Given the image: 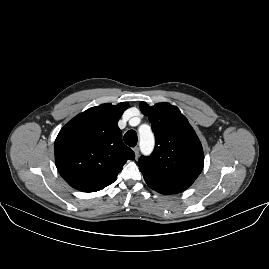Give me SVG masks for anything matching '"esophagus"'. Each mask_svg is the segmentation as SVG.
<instances>
[{"label": "esophagus", "mask_w": 269, "mask_h": 269, "mask_svg": "<svg viewBox=\"0 0 269 269\" xmlns=\"http://www.w3.org/2000/svg\"><path fill=\"white\" fill-rule=\"evenodd\" d=\"M133 151H134V153H135V159L137 160L138 157H139V154H140V152H139V148H138V147H134V148H133Z\"/></svg>", "instance_id": "34e87169"}]
</instances>
